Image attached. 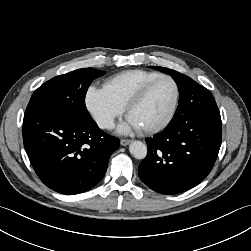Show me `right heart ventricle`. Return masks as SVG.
I'll list each match as a JSON object with an SVG mask.
<instances>
[{
	"mask_svg": "<svg viewBox=\"0 0 251 251\" xmlns=\"http://www.w3.org/2000/svg\"><path fill=\"white\" fill-rule=\"evenodd\" d=\"M159 75V72L145 69L125 70L106 79L104 88L125 108L128 101L141 86Z\"/></svg>",
	"mask_w": 251,
	"mask_h": 251,
	"instance_id": "right-heart-ventricle-1",
	"label": "right heart ventricle"
}]
</instances>
